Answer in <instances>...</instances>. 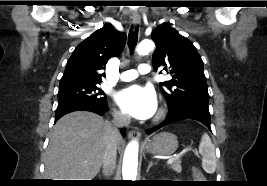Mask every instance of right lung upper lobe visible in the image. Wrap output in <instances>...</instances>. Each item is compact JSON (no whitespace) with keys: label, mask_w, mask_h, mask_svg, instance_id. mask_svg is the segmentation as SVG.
I'll return each mask as SVG.
<instances>
[{"label":"right lung upper lobe","mask_w":267,"mask_h":186,"mask_svg":"<svg viewBox=\"0 0 267 186\" xmlns=\"http://www.w3.org/2000/svg\"><path fill=\"white\" fill-rule=\"evenodd\" d=\"M125 33L118 32L112 24L106 23L102 28L81 42L69 58L60 85L75 83L100 84L111 57H118L125 45Z\"/></svg>","instance_id":"cb5924a9"}]
</instances>
